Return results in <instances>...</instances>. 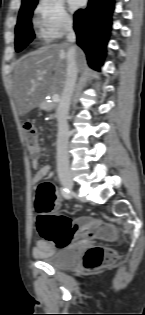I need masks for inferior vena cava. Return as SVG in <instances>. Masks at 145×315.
Instances as JSON below:
<instances>
[{
  "mask_svg": "<svg viewBox=\"0 0 145 315\" xmlns=\"http://www.w3.org/2000/svg\"><path fill=\"white\" fill-rule=\"evenodd\" d=\"M66 30L67 41L74 43L76 41V35L71 23L67 25ZM77 73L78 66L75 58V51L73 48H70L67 52L66 80L57 108V172L58 177L61 180L71 179L68 154L69 127L67 123V116L70 109L71 97L76 85Z\"/></svg>",
  "mask_w": 145,
  "mask_h": 315,
  "instance_id": "inferior-vena-cava-1",
  "label": "inferior vena cava"
}]
</instances>
